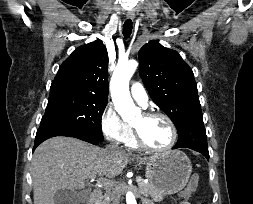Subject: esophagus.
I'll return each instance as SVG.
<instances>
[{"mask_svg":"<svg viewBox=\"0 0 253 204\" xmlns=\"http://www.w3.org/2000/svg\"><path fill=\"white\" fill-rule=\"evenodd\" d=\"M126 16L128 19H134L135 13L133 11H128Z\"/></svg>","mask_w":253,"mask_h":204,"instance_id":"1","label":"esophagus"}]
</instances>
